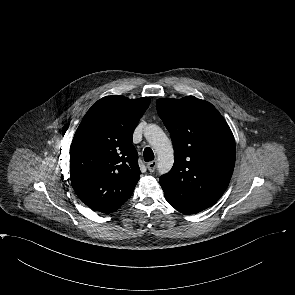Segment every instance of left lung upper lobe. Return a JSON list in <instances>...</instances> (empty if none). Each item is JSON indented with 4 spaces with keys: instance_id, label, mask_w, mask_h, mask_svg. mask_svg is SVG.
I'll use <instances>...</instances> for the list:
<instances>
[{
    "instance_id": "obj_1",
    "label": "left lung upper lobe",
    "mask_w": 295,
    "mask_h": 295,
    "mask_svg": "<svg viewBox=\"0 0 295 295\" xmlns=\"http://www.w3.org/2000/svg\"><path fill=\"white\" fill-rule=\"evenodd\" d=\"M157 111L171 134L175 162L160 185L166 200L190 215L215 204L226 190L235 165L233 134L209 102L186 96L161 98Z\"/></svg>"
}]
</instances>
